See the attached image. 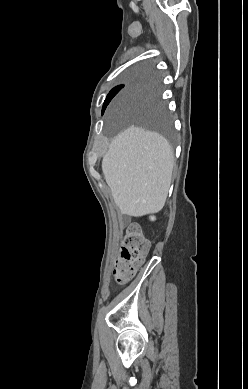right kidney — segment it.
I'll return each instance as SVG.
<instances>
[{"label": "right kidney", "instance_id": "ca27d5eb", "mask_svg": "<svg viewBox=\"0 0 248 389\" xmlns=\"http://www.w3.org/2000/svg\"><path fill=\"white\" fill-rule=\"evenodd\" d=\"M150 219H151L152 221H154V220H155V217H154V216H151Z\"/></svg>", "mask_w": 248, "mask_h": 389}]
</instances>
